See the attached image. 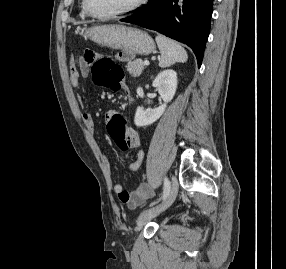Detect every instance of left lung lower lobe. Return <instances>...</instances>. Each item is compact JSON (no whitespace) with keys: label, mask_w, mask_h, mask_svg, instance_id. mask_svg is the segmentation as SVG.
Wrapping results in <instances>:
<instances>
[{"label":"left lung lower lobe","mask_w":286,"mask_h":269,"mask_svg":"<svg viewBox=\"0 0 286 269\" xmlns=\"http://www.w3.org/2000/svg\"><path fill=\"white\" fill-rule=\"evenodd\" d=\"M149 0L134 15L123 22L158 31L165 36L187 44L201 66L206 40L210 31L213 0Z\"/></svg>","instance_id":"left-lung-lower-lobe-1"}]
</instances>
